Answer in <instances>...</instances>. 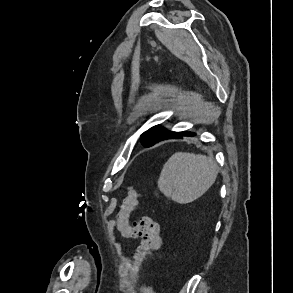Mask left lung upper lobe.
Segmentation results:
<instances>
[{"mask_svg":"<svg viewBox=\"0 0 293 293\" xmlns=\"http://www.w3.org/2000/svg\"><path fill=\"white\" fill-rule=\"evenodd\" d=\"M169 132L170 131L161 127L160 125L154 126L141 135V143L145 147H150L162 140V138Z\"/></svg>","mask_w":293,"mask_h":293,"instance_id":"5c2ea615","label":"left lung upper lobe"}]
</instances>
